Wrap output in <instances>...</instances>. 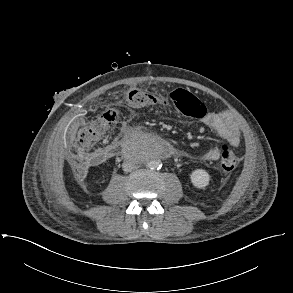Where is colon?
<instances>
[{
    "label": "colon",
    "mask_w": 293,
    "mask_h": 293,
    "mask_svg": "<svg viewBox=\"0 0 293 293\" xmlns=\"http://www.w3.org/2000/svg\"><path fill=\"white\" fill-rule=\"evenodd\" d=\"M175 106L185 115L195 116V107L198 99L189 91L177 89L171 95ZM156 103L153 96L142 89L131 90L125 99V107L128 110H136L152 106ZM119 117V111L110 109L104 112L98 119L88 123L78 132V143L81 149H87L95 145L103 136L105 131L111 128ZM221 167L225 171H232L238 164L235 153L227 146H220Z\"/></svg>",
    "instance_id": "5ec220e1"
}]
</instances>
